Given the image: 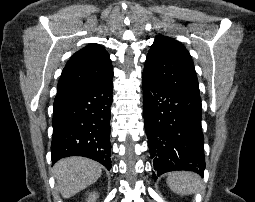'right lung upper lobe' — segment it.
I'll list each match as a JSON object with an SVG mask.
<instances>
[{"instance_id":"right-lung-upper-lobe-1","label":"right lung upper lobe","mask_w":255,"mask_h":202,"mask_svg":"<svg viewBox=\"0 0 255 202\" xmlns=\"http://www.w3.org/2000/svg\"><path fill=\"white\" fill-rule=\"evenodd\" d=\"M113 78L106 50L90 44L71 56L58 82L57 94L99 86Z\"/></svg>"}]
</instances>
